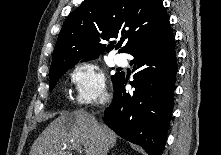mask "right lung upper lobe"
Segmentation results:
<instances>
[{"instance_id": "obj_1", "label": "right lung upper lobe", "mask_w": 221, "mask_h": 155, "mask_svg": "<svg viewBox=\"0 0 221 155\" xmlns=\"http://www.w3.org/2000/svg\"><path fill=\"white\" fill-rule=\"evenodd\" d=\"M169 23L161 0H84L69 14L59 33L50 71L95 59L114 48L129 53L148 33Z\"/></svg>"}]
</instances>
